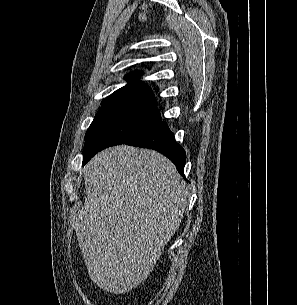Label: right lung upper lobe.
<instances>
[{"label":"right lung upper lobe","instance_id":"cb5924a9","mask_svg":"<svg viewBox=\"0 0 297 305\" xmlns=\"http://www.w3.org/2000/svg\"><path fill=\"white\" fill-rule=\"evenodd\" d=\"M140 75L141 73L139 72L127 75L126 79L129 80V83L108 96L102 103L118 99H139L156 102L150 88L137 80Z\"/></svg>","mask_w":297,"mask_h":305}]
</instances>
